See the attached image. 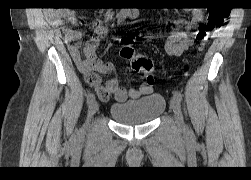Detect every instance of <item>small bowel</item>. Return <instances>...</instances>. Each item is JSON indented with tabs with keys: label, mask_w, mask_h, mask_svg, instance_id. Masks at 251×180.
Masks as SVG:
<instances>
[{
	"label": "small bowel",
	"mask_w": 251,
	"mask_h": 180,
	"mask_svg": "<svg viewBox=\"0 0 251 180\" xmlns=\"http://www.w3.org/2000/svg\"><path fill=\"white\" fill-rule=\"evenodd\" d=\"M137 17L138 10L132 7L122 9L117 14L118 22H123L127 19H136ZM52 20L56 26L61 28L70 55L80 72L84 75L86 82L94 89L100 100L107 101L111 97H114L117 102H124L127 99H138L153 92L152 84L148 83H143L138 88L127 90L119 84L116 78H109L104 83L101 82L100 74H107L112 71L110 65L103 63L96 56V50L101 39L108 34L107 27L99 25L96 28L93 37L88 40L84 46V57H82L80 53L82 41L81 32L65 26L66 20L71 24L77 23V14L68 10H60L52 13ZM202 20V11L200 9L193 10L191 19L183 22L185 29H174L169 32L164 44L165 52L172 57L182 56L192 44L189 35L190 30L200 24Z\"/></svg>",
	"instance_id": "obj_1"
}]
</instances>
